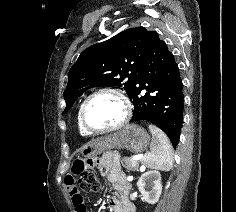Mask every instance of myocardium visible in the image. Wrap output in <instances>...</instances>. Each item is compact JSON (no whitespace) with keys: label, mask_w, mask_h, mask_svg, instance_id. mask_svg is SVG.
<instances>
[{"label":"myocardium","mask_w":236,"mask_h":212,"mask_svg":"<svg viewBox=\"0 0 236 212\" xmlns=\"http://www.w3.org/2000/svg\"><path fill=\"white\" fill-rule=\"evenodd\" d=\"M100 94H112L114 96H116L122 103L123 105V116L121 118V120L110 127H106V128H102V129H94L91 128L87 122H86V118H85V111L87 108L88 103L96 96L100 95ZM132 103L129 100V98L127 97V95L120 89L115 88V87H101L99 89H96L95 91H93L92 93H90L82 102L81 106H80V111H79V120L80 123L82 125V127L85 129V131L89 134H105V133H110V132H114L117 130H120L121 128H123L128 121L130 120V117L132 115Z\"/></svg>","instance_id":"f54148a6"}]
</instances>
